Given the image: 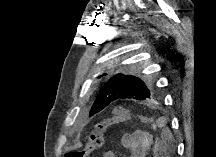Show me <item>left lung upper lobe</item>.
<instances>
[{"label":"left lung upper lobe","mask_w":216,"mask_h":157,"mask_svg":"<svg viewBox=\"0 0 216 157\" xmlns=\"http://www.w3.org/2000/svg\"><path fill=\"white\" fill-rule=\"evenodd\" d=\"M114 75L98 94L95 104L110 103L118 100L148 101L156 96V86L151 80L143 81L133 75L137 69H114ZM95 109L91 108L90 114Z\"/></svg>","instance_id":"1"}]
</instances>
